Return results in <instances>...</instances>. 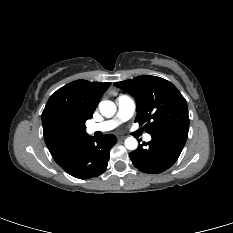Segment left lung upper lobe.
Returning <instances> with one entry per match:
<instances>
[{"label": "left lung upper lobe", "instance_id": "5c2ea615", "mask_svg": "<svg viewBox=\"0 0 233 233\" xmlns=\"http://www.w3.org/2000/svg\"><path fill=\"white\" fill-rule=\"evenodd\" d=\"M131 94L137 104L135 122L145 124L146 131L158 135L189 130L188 107L185 98L168 80L143 75L114 83Z\"/></svg>", "mask_w": 233, "mask_h": 233}]
</instances>
